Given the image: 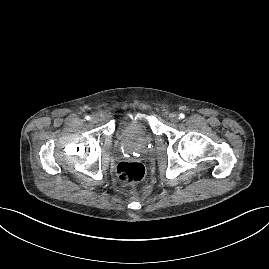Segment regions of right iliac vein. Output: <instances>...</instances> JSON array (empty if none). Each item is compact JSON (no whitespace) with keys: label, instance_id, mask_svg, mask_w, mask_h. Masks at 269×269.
<instances>
[{"label":"right iliac vein","instance_id":"63e3f726","mask_svg":"<svg viewBox=\"0 0 269 269\" xmlns=\"http://www.w3.org/2000/svg\"><path fill=\"white\" fill-rule=\"evenodd\" d=\"M92 123H98L99 122V117L98 116H93L91 119Z\"/></svg>","mask_w":269,"mask_h":269}]
</instances>
